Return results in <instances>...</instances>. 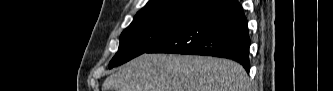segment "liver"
I'll return each mask as SVG.
<instances>
[{
	"label": "liver",
	"instance_id": "liver-1",
	"mask_svg": "<svg viewBox=\"0 0 333 91\" xmlns=\"http://www.w3.org/2000/svg\"><path fill=\"white\" fill-rule=\"evenodd\" d=\"M104 91H249L244 68L231 60L143 54L103 84Z\"/></svg>",
	"mask_w": 333,
	"mask_h": 91
}]
</instances>
